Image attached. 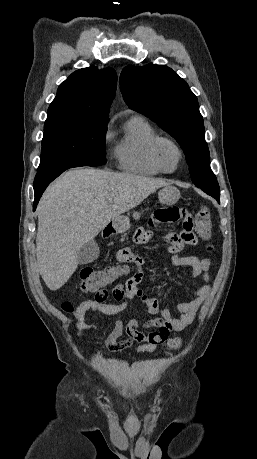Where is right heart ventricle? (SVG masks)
<instances>
[{"label":"right heart ventricle","mask_w":257,"mask_h":459,"mask_svg":"<svg viewBox=\"0 0 257 459\" xmlns=\"http://www.w3.org/2000/svg\"><path fill=\"white\" fill-rule=\"evenodd\" d=\"M157 136L155 128L144 117L132 116L126 122L124 135L114 149L118 167L123 171L144 176L162 173L150 156L151 143Z\"/></svg>","instance_id":"right-heart-ventricle-1"}]
</instances>
